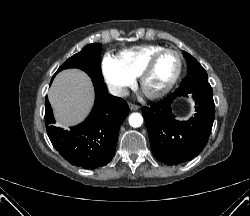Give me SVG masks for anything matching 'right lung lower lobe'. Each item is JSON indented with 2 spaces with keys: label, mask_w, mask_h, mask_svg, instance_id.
<instances>
[{
  "label": "right lung lower lobe",
  "mask_w": 250,
  "mask_h": 216,
  "mask_svg": "<svg viewBox=\"0 0 250 216\" xmlns=\"http://www.w3.org/2000/svg\"><path fill=\"white\" fill-rule=\"evenodd\" d=\"M95 104L89 117L70 131L53 126L52 108L46 97L45 122L54 148L71 164L85 169L108 164L115 154L119 128L129 113L123 99L107 94L104 83L94 82Z\"/></svg>",
  "instance_id": "right-lung-lower-lobe-1"
}]
</instances>
